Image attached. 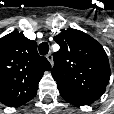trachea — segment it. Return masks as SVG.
<instances>
[{"label":"trachea","instance_id":"3493384b","mask_svg":"<svg viewBox=\"0 0 114 114\" xmlns=\"http://www.w3.org/2000/svg\"><path fill=\"white\" fill-rule=\"evenodd\" d=\"M39 53L41 55H46L49 51V45L47 42H42L40 45H39Z\"/></svg>","mask_w":114,"mask_h":114}]
</instances>
